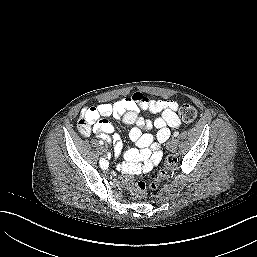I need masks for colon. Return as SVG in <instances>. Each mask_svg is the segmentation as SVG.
Wrapping results in <instances>:
<instances>
[{
    "instance_id": "colon-1",
    "label": "colon",
    "mask_w": 257,
    "mask_h": 257,
    "mask_svg": "<svg viewBox=\"0 0 257 257\" xmlns=\"http://www.w3.org/2000/svg\"><path fill=\"white\" fill-rule=\"evenodd\" d=\"M180 118L184 123H192L197 118V110L191 105H184L180 109ZM175 158L169 157L167 159L168 165H174ZM161 174L152 184V188H156L159 184ZM123 186L129 191L130 195L135 199H141L146 193V183L143 181H136L130 175L126 174L122 178Z\"/></svg>"
}]
</instances>
